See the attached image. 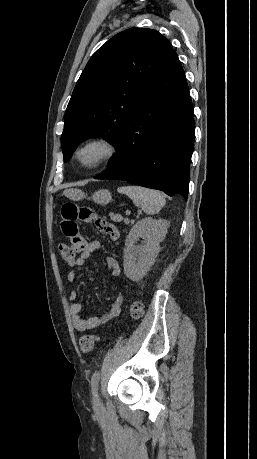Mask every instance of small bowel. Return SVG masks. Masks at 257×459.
Instances as JSON below:
<instances>
[{
    "label": "small bowel",
    "instance_id": "obj_1",
    "mask_svg": "<svg viewBox=\"0 0 257 459\" xmlns=\"http://www.w3.org/2000/svg\"><path fill=\"white\" fill-rule=\"evenodd\" d=\"M59 220L61 222V231L65 232L70 242V250L76 251L77 258L72 263L76 267H83L91 254L100 249L98 241L88 242L87 235L84 232H80V228L78 227L80 222H85L86 226H96L114 241L120 236L119 230L113 224L99 218L96 208H88V205H77L75 200H66L64 205H61ZM104 262L113 276L120 274V267L115 257L106 256ZM77 279L78 275L75 271L72 270L67 273V281L69 283H75ZM77 299L78 291H70L69 300L72 301L70 315L73 327L77 331L84 332L95 330L118 318L123 309L124 294L120 292L110 302L106 311L89 319L82 317V305L76 301Z\"/></svg>",
    "mask_w": 257,
    "mask_h": 459
}]
</instances>
